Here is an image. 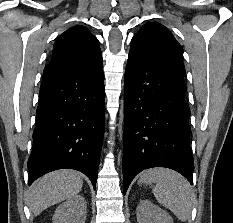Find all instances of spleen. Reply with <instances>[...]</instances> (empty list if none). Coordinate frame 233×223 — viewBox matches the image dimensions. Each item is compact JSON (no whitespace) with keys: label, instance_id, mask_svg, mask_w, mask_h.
<instances>
[{"label":"spleen","instance_id":"obj_1","mask_svg":"<svg viewBox=\"0 0 233 223\" xmlns=\"http://www.w3.org/2000/svg\"><path fill=\"white\" fill-rule=\"evenodd\" d=\"M141 179L155 181L153 193L157 201L171 209L181 221L189 219L194 193L189 181L183 175L173 169L159 167V169H149L141 175Z\"/></svg>","mask_w":233,"mask_h":223}]
</instances>
